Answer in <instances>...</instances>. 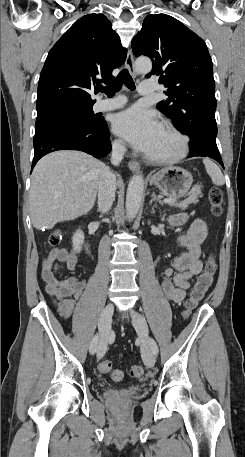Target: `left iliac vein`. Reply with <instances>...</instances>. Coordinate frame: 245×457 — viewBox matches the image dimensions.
<instances>
[{
  "instance_id": "obj_1",
  "label": "left iliac vein",
  "mask_w": 245,
  "mask_h": 457,
  "mask_svg": "<svg viewBox=\"0 0 245 457\" xmlns=\"http://www.w3.org/2000/svg\"><path fill=\"white\" fill-rule=\"evenodd\" d=\"M131 313L133 315V325L136 331L139 332L140 340L142 341L143 361L147 368H152L155 364V354L152 352L148 343V324L144 317L136 311H132Z\"/></svg>"
}]
</instances>
